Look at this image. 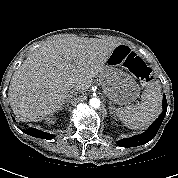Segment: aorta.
<instances>
[{
  "instance_id": "1",
  "label": "aorta",
  "mask_w": 178,
  "mask_h": 178,
  "mask_svg": "<svg viewBox=\"0 0 178 178\" xmlns=\"http://www.w3.org/2000/svg\"><path fill=\"white\" fill-rule=\"evenodd\" d=\"M100 103H101L100 99H98V98H91L90 99V106L95 108V109L100 107Z\"/></svg>"
}]
</instances>
